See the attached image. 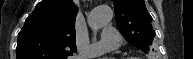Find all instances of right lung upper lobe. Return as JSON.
Segmentation results:
<instances>
[{
  "label": "right lung upper lobe",
  "mask_w": 193,
  "mask_h": 59,
  "mask_svg": "<svg viewBox=\"0 0 193 59\" xmlns=\"http://www.w3.org/2000/svg\"><path fill=\"white\" fill-rule=\"evenodd\" d=\"M72 0H42L18 35L16 59H67L76 52Z\"/></svg>",
  "instance_id": "1"
}]
</instances>
